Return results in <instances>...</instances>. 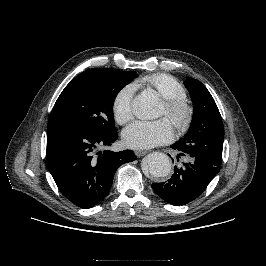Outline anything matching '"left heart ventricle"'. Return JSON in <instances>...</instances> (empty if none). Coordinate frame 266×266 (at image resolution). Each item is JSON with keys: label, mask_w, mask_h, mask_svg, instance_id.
<instances>
[{"label": "left heart ventricle", "mask_w": 266, "mask_h": 266, "mask_svg": "<svg viewBox=\"0 0 266 266\" xmlns=\"http://www.w3.org/2000/svg\"><path fill=\"white\" fill-rule=\"evenodd\" d=\"M166 114V108H165V105H163V108H162V115H165Z\"/></svg>", "instance_id": "left-heart-ventricle-1"}]
</instances>
